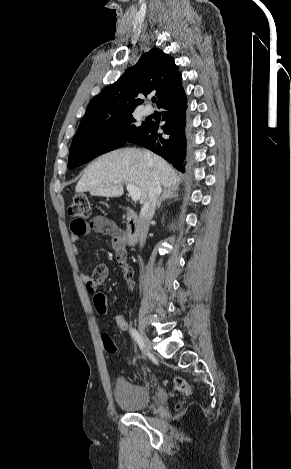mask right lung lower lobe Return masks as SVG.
I'll use <instances>...</instances> for the list:
<instances>
[{
	"label": "right lung lower lobe",
	"instance_id": "1",
	"mask_svg": "<svg viewBox=\"0 0 291 469\" xmlns=\"http://www.w3.org/2000/svg\"><path fill=\"white\" fill-rule=\"evenodd\" d=\"M162 108L161 126L163 133H157L158 123L149 121L139 130L133 132L129 142L141 145L159 154L176 169L184 172L183 165L187 148L186 114L187 98L184 89H180L174 95L164 99L158 104Z\"/></svg>",
	"mask_w": 291,
	"mask_h": 469
}]
</instances>
